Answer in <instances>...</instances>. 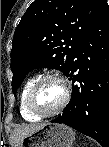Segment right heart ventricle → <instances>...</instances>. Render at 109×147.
<instances>
[{
  "instance_id": "obj_1",
  "label": "right heart ventricle",
  "mask_w": 109,
  "mask_h": 147,
  "mask_svg": "<svg viewBox=\"0 0 109 147\" xmlns=\"http://www.w3.org/2000/svg\"><path fill=\"white\" fill-rule=\"evenodd\" d=\"M35 81H36V78H30L24 84L21 95H20V113L22 117L29 122H35L39 120L38 117H35L34 115L30 114L26 108V96Z\"/></svg>"
}]
</instances>
